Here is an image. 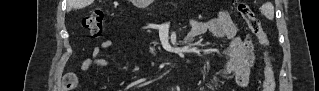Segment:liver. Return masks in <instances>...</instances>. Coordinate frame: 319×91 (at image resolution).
Here are the masks:
<instances>
[{"mask_svg":"<svg viewBox=\"0 0 319 91\" xmlns=\"http://www.w3.org/2000/svg\"><path fill=\"white\" fill-rule=\"evenodd\" d=\"M93 0H72L71 8L80 9L90 5Z\"/></svg>","mask_w":319,"mask_h":91,"instance_id":"obj_1","label":"liver"}]
</instances>
